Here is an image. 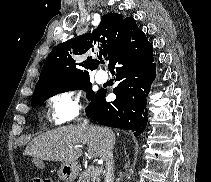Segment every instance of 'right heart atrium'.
<instances>
[{
  "mask_svg": "<svg viewBox=\"0 0 211 182\" xmlns=\"http://www.w3.org/2000/svg\"><path fill=\"white\" fill-rule=\"evenodd\" d=\"M48 106L49 120L55 125L76 121L84 111L81 94L75 90H65L53 95Z\"/></svg>",
  "mask_w": 211,
  "mask_h": 182,
  "instance_id": "obj_1",
  "label": "right heart atrium"
}]
</instances>
